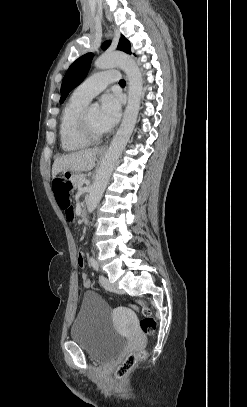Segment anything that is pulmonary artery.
Wrapping results in <instances>:
<instances>
[{"instance_id": "pulmonary-artery-1", "label": "pulmonary artery", "mask_w": 247, "mask_h": 407, "mask_svg": "<svg viewBox=\"0 0 247 407\" xmlns=\"http://www.w3.org/2000/svg\"><path fill=\"white\" fill-rule=\"evenodd\" d=\"M117 81H119V72L116 70L96 73L79 85L73 96L87 102L103 91L108 84Z\"/></svg>"}]
</instances>
